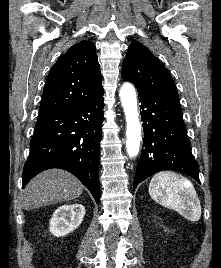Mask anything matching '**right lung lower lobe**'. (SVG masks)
Instances as JSON below:
<instances>
[{"label": "right lung lower lobe", "instance_id": "right-lung-lower-lobe-1", "mask_svg": "<svg viewBox=\"0 0 221 268\" xmlns=\"http://www.w3.org/2000/svg\"><path fill=\"white\" fill-rule=\"evenodd\" d=\"M103 107L102 94L66 109L39 113L22 186L46 169L61 168L74 174L99 202Z\"/></svg>", "mask_w": 221, "mask_h": 268}]
</instances>
